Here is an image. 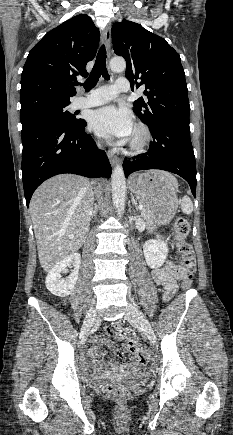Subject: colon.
I'll use <instances>...</instances> for the list:
<instances>
[{
  "label": "colon",
  "mask_w": 233,
  "mask_h": 435,
  "mask_svg": "<svg viewBox=\"0 0 233 435\" xmlns=\"http://www.w3.org/2000/svg\"><path fill=\"white\" fill-rule=\"evenodd\" d=\"M175 240L180 258L181 265L187 270L189 275L182 280V288L185 291H190L192 279L191 274L195 270V254L191 244L187 241L190 233V225L188 221L183 217H177L174 222ZM108 335L113 334L111 327L106 328ZM123 336L126 338V348L129 351L142 353L143 349L140 343L136 340L133 332L129 329L123 330ZM101 392L104 396L115 400L116 402L123 403L128 400L130 396V390L128 388L105 383L101 385Z\"/></svg>",
  "instance_id": "colon-1"
}]
</instances>
